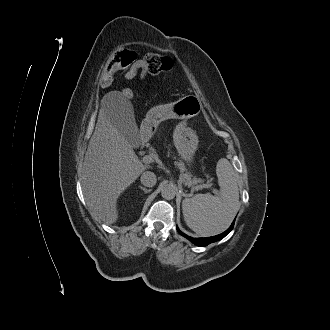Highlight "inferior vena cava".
<instances>
[{
    "label": "inferior vena cava",
    "instance_id": "inferior-vena-cava-1",
    "mask_svg": "<svg viewBox=\"0 0 330 330\" xmlns=\"http://www.w3.org/2000/svg\"><path fill=\"white\" fill-rule=\"evenodd\" d=\"M140 180L141 183L146 187H153L157 182L156 175L151 171L143 172Z\"/></svg>",
    "mask_w": 330,
    "mask_h": 330
}]
</instances>
